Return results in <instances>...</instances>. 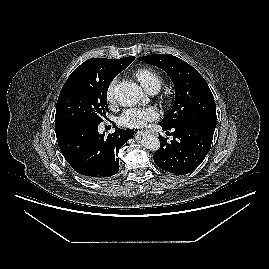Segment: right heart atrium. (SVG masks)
Instances as JSON below:
<instances>
[{
  "label": "right heart atrium",
  "instance_id": "right-heart-atrium-1",
  "mask_svg": "<svg viewBox=\"0 0 269 269\" xmlns=\"http://www.w3.org/2000/svg\"><path fill=\"white\" fill-rule=\"evenodd\" d=\"M116 79H113L110 84L107 87V91H106V97H107V101L110 104H113L115 102V86H116Z\"/></svg>",
  "mask_w": 269,
  "mask_h": 269
}]
</instances>
